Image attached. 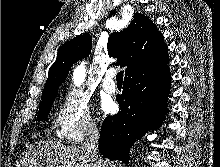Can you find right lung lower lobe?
<instances>
[{
	"label": "right lung lower lobe",
	"instance_id": "98d812e1",
	"mask_svg": "<svg viewBox=\"0 0 220 167\" xmlns=\"http://www.w3.org/2000/svg\"><path fill=\"white\" fill-rule=\"evenodd\" d=\"M167 63L125 76L122 94L116 97L120 111L108 116L101 127L99 150L104 157L127 163L136 138L150 128H159L170 91Z\"/></svg>",
	"mask_w": 220,
	"mask_h": 167
}]
</instances>
